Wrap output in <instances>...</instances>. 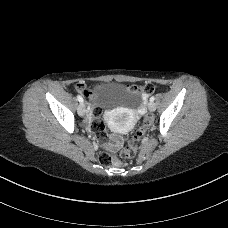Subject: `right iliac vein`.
<instances>
[{"mask_svg": "<svg viewBox=\"0 0 228 228\" xmlns=\"http://www.w3.org/2000/svg\"><path fill=\"white\" fill-rule=\"evenodd\" d=\"M77 111H78L79 116L82 117V116L85 115V105H84V103H80V105L78 106Z\"/></svg>", "mask_w": 228, "mask_h": 228, "instance_id": "right-iliac-vein-1", "label": "right iliac vein"}]
</instances>
